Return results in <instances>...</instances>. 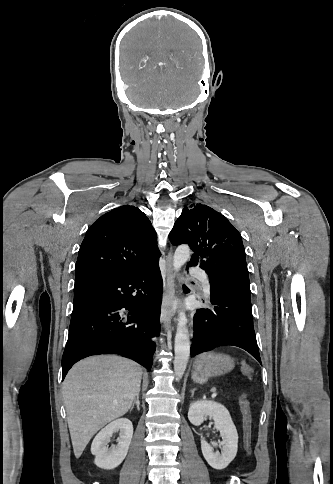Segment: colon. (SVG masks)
I'll return each mask as SVG.
<instances>
[{"instance_id": "obj_1", "label": "colon", "mask_w": 333, "mask_h": 484, "mask_svg": "<svg viewBox=\"0 0 333 484\" xmlns=\"http://www.w3.org/2000/svg\"><path fill=\"white\" fill-rule=\"evenodd\" d=\"M240 370L242 374L247 377H251L253 375L252 367L245 362L241 363ZM240 408H241L242 417H243L244 449L246 454L249 456L251 455V451H252V447H251L252 413H251L249 401L247 400L244 394L240 396Z\"/></svg>"}]
</instances>
